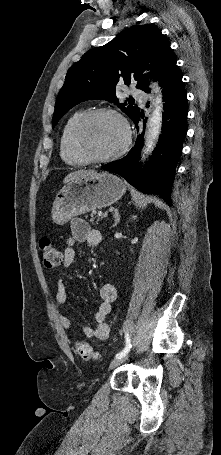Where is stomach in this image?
<instances>
[{
	"instance_id": "1",
	"label": "stomach",
	"mask_w": 221,
	"mask_h": 455,
	"mask_svg": "<svg viewBox=\"0 0 221 455\" xmlns=\"http://www.w3.org/2000/svg\"><path fill=\"white\" fill-rule=\"evenodd\" d=\"M125 191L123 180L107 172L72 180L56 195L52 220L63 225L74 216L114 204Z\"/></svg>"
}]
</instances>
